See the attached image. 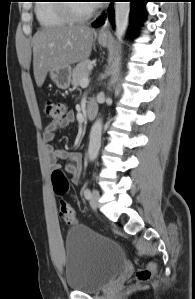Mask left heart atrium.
Returning <instances> with one entry per match:
<instances>
[{
    "label": "left heart atrium",
    "instance_id": "obj_1",
    "mask_svg": "<svg viewBox=\"0 0 195 299\" xmlns=\"http://www.w3.org/2000/svg\"><path fill=\"white\" fill-rule=\"evenodd\" d=\"M97 1H101V0H95V1H94V5H92V6H98L99 4L102 3V2H97Z\"/></svg>",
    "mask_w": 195,
    "mask_h": 299
}]
</instances>
